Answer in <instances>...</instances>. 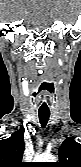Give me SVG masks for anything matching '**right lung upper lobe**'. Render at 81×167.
I'll list each match as a JSON object with an SVG mask.
<instances>
[{
    "mask_svg": "<svg viewBox=\"0 0 81 167\" xmlns=\"http://www.w3.org/2000/svg\"><path fill=\"white\" fill-rule=\"evenodd\" d=\"M24 149V129L21 128L0 141V167H26L27 163L21 162Z\"/></svg>",
    "mask_w": 81,
    "mask_h": 167,
    "instance_id": "1",
    "label": "right lung upper lobe"
}]
</instances>
